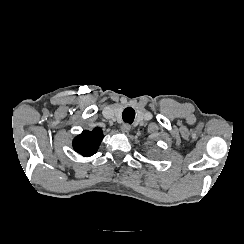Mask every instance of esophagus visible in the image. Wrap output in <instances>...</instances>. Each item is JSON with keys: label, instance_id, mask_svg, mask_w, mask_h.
Wrapping results in <instances>:
<instances>
[{"label": "esophagus", "instance_id": "obj_1", "mask_svg": "<svg viewBox=\"0 0 244 244\" xmlns=\"http://www.w3.org/2000/svg\"><path fill=\"white\" fill-rule=\"evenodd\" d=\"M131 129V126L129 124H122L121 125V131L123 133H128Z\"/></svg>", "mask_w": 244, "mask_h": 244}]
</instances>
